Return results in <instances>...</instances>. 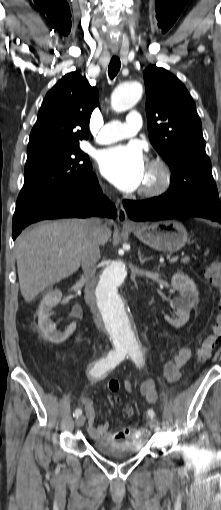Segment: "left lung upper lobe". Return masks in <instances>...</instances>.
Returning <instances> with one entry per match:
<instances>
[{
  "mask_svg": "<svg viewBox=\"0 0 221 510\" xmlns=\"http://www.w3.org/2000/svg\"><path fill=\"white\" fill-rule=\"evenodd\" d=\"M149 138L168 163L172 176L169 199H216L217 187L205 152L201 120L185 86L154 65L143 73Z\"/></svg>",
  "mask_w": 221,
  "mask_h": 510,
  "instance_id": "5c2ea615",
  "label": "left lung upper lobe"
}]
</instances>
